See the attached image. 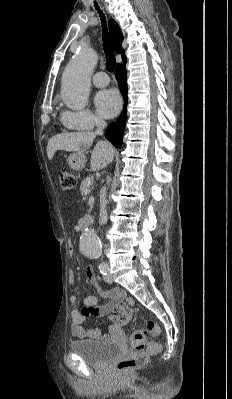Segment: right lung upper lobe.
<instances>
[{"mask_svg":"<svg viewBox=\"0 0 232 399\" xmlns=\"http://www.w3.org/2000/svg\"><path fill=\"white\" fill-rule=\"evenodd\" d=\"M109 30L111 35V40L113 44V48L117 53L122 54V59H126L124 55V51L122 49V41H123V34L118 26V24L113 20H109Z\"/></svg>","mask_w":232,"mask_h":399,"instance_id":"1","label":"right lung upper lobe"}]
</instances>
